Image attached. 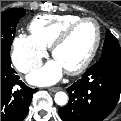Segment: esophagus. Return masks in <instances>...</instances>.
<instances>
[{
	"instance_id": "1",
	"label": "esophagus",
	"mask_w": 121,
	"mask_h": 121,
	"mask_svg": "<svg viewBox=\"0 0 121 121\" xmlns=\"http://www.w3.org/2000/svg\"><path fill=\"white\" fill-rule=\"evenodd\" d=\"M60 89H61L60 87H51V88H48V91H50V92H56V91H58Z\"/></svg>"
}]
</instances>
